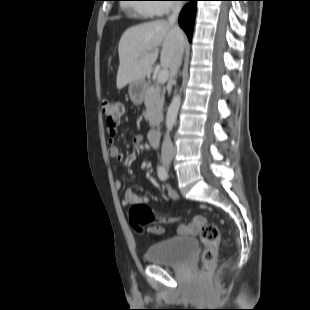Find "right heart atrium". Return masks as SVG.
<instances>
[{"label":"right heart atrium","mask_w":310,"mask_h":310,"mask_svg":"<svg viewBox=\"0 0 310 310\" xmlns=\"http://www.w3.org/2000/svg\"><path fill=\"white\" fill-rule=\"evenodd\" d=\"M171 1L172 0H155L156 3L151 5V7L155 10L156 15H164L173 8Z\"/></svg>","instance_id":"obj_1"}]
</instances>
